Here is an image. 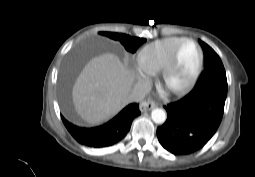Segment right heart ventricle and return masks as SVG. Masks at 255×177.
<instances>
[{
    "label": "right heart ventricle",
    "mask_w": 255,
    "mask_h": 177,
    "mask_svg": "<svg viewBox=\"0 0 255 177\" xmlns=\"http://www.w3.org/2000/svg\"><path fill=\"white\" fill-rule=\"evenodd\" d=\"M183 37H168L145 46L139 54L140 61L149 69H162L171 58Z\"/></svg>",
    "instance_id": "obj_1"
}]
</instances>
